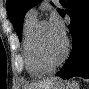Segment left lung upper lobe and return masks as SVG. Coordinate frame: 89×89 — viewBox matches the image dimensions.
Returning a JSON list of instances; mask_svg holds the SVG:
<instances>
[{"label": "left lung upper lobe", "mask_w": 89, "mask_h": 89, "mask_svg": "<svg viewBox=\"0 0 89 89\" xmlns=\"http://www.w3.org/2000/svg\"><path fill=\"white\" fill-rule=\"evenodd\" d=\"M40 1L41 0H7V13L20 40L23 20L26 12ZM58 11H60V9H58Z\"/></svg>", "instance_id": "1"}]
</instances>
